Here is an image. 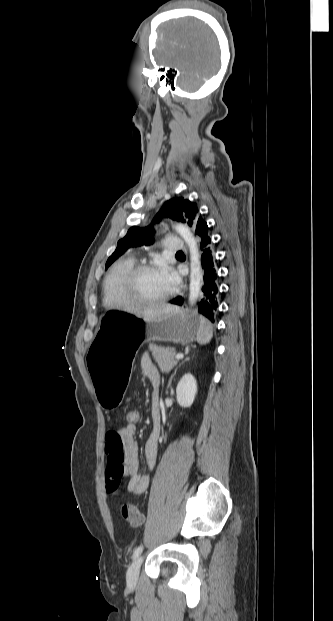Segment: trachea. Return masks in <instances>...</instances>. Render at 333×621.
<instances>
[{
    "mask_svg": "<svg viewBox=\"0 0 333 621\" xmlns=\"http://www.w3.org/2000/svg\"><path fill=\"white\" fill-rule=\"evenodd\" d=\"M176 254H183V252H182V251H179V252H177Z\"/></svg>",
    "mask_w": 333,
    "mask_h": 621,
    "instance_id": "obj_1",
    "label": "trachea"
}]
</instances>
